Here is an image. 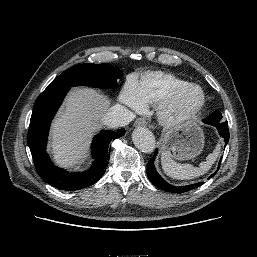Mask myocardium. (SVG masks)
Segmentation results:
<instances>
[{
	"label": "myocardium",
	"instance_id": "myocardium-1",
	"mask_svg": "<svg viewBox=\"0 0 257 257\" xmlns=\"http://www.w3.org/2000/svg\"><path fill=\"white\" fill-rule=\"evenodd\" d=\"M198 90L201 99L195 108L189 112H175L174 105L176 101L187 91ZM206 104V94L202 87L197 84L189 83L173 90L168 96L159 103L157 108L158 117L166 126H179L194 120L204 109Z\"/></svg>",
	"mask_w": 257,
	"mask_h": 257
}]
</instances>
